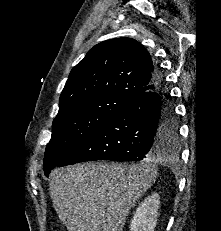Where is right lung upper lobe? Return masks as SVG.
<instances>
[{"instance_id": "cb5924a9", "label": "right lung upper lobe", "mask_w": 221, "mask_h": 231, "mask_svg": "<svg viewBox=\"0 0 221 231\" xmlns=\"http://www.w3.org/2000/svg\"><path fill=\"white\" fill-rule=\"evenodd\" d=\"M156 66L136 40L115 38L89 50L71 70L59 110L86 97L113 95L130 100L156 86Z\"/></svg>"}]
</instances>
